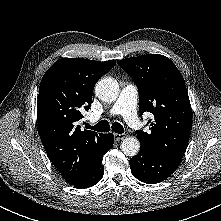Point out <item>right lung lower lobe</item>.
I'll return each mask as SVG.
<instances>
[{
    "label": "right lung lower lobe",
    "mask_w": 221,
    "mask_h": 221,
    "mask_svg": "<svg viewBox=\"0 0 221 221\" xmlns=\"http://www.w3.org/2000/svg\"><path fill=\"white\" fill-rule=\"evenodd\" d=\"M113 143H114L113 134L111 133L105 134L102 149L99 154L97 162L94 164V166L91 168V170L84 178L73 184L74 187L79 189L88 188L95 185L102 179L104 167L102 165L101 159L102 156L113 147Z\"/></svg>",
    "instance_id": "1"
}]
</instances>
